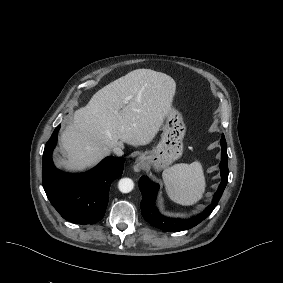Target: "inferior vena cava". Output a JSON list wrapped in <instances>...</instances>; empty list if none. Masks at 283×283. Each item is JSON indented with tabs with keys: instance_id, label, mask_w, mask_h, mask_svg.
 <instances>
[{
	"instance_id": "602c4592",
	"label": "inferior vena cava",
	"mask_w": 283,
	"mask_h": 283,
	"mask_svg": "<svg viewBox=\"0 0 283 283\" xmlns=\"http://www.w3.org/2000/svg\"><path fill=\"white\" fill-rule=\"evenodd\" d=\"M113 152L117 155V156H122L123 155V151L120 147H114L113 148Z\"/></svg>"
}]
</instances>
